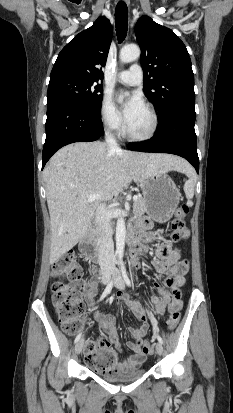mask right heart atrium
Wrapping results in <instances>:
<instances>
[{
    "label": "right heart atrium",
    "instance_id": "d8ad5b80",
    "mask_svg": "<svg viewBox=\"0 0 233 413\" xmlns=\"http://www.w3.org/2000/svg\"><path fill=\"white\" fill-rule=\"evenodd\" d=\"M100 119L103 126L113 133H120L123 129L121 115L109 96H104L102 99Z\"/></svg>",
    "mask_w": 233,
    "mask_h": 413
}]
</instances>
